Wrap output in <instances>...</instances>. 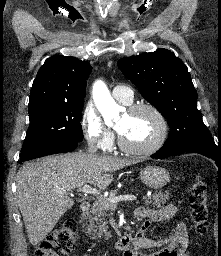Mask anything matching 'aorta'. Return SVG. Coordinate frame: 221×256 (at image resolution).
Masks as SVG:
<instances>
[{
    "mask_svg": "<svg viewBox=\"0 0 221 256\" xmlns=\"http://www.w3.org/2000/svg\"><path fill=\"white\" fill-rule=\"evenodd\" d=\"M93 99L105 121H111L121 111V107L115 102L107 86L101 80L96 81L93 86Z\"/></svg>",
    "mask_w": 221,
    "mask_h": 256,
    "instance_id": "obj_1",
    "label": "aorta"
}]
</instances>
